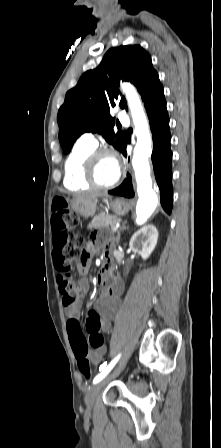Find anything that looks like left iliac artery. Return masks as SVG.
Here are the masks:
<instances>
[{
    "label": "left iliac artery",
    "instance_id": "obj_1",
    "mask_svg": "<svg viewBox=\"0 0 221 448\" xmlns=\"http://www.w3.org/2000/svg\"><path fill=\"white\" fill-rule=\"evenodd\" d=\"M121 357V354H119L114 360L111 361V363L106 367V363H103L100 368L102 369V372L98 374L94 380L93 384H96L100 382L105 376L111 371V369L115 366L119 358ZM106 367V368H105Z\"/></svg>",
    "mask_w": 221,
    "mask_h": 448
}]
</instances>
